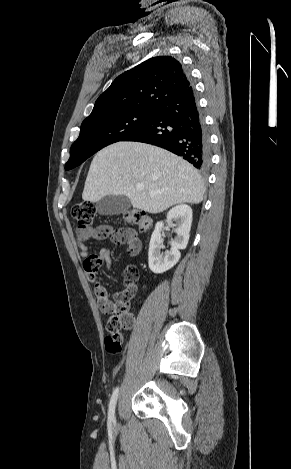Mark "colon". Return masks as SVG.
<instances>
[{
    "label": "colon",
    "instance_id": "colon-1",
    "mask_svg": "<svg viewBox=\"0 0 291 469\" xmlns=\"http://www.w3.org/2000/svg\"><path fill=\"white\" fill-rule=\"evenodd\" d=\"M96 215V208L92 202L82 201L75 204L72 208V216L78 223V231L89 238L106 239L121 237V233L110 231L105 225L92 227ZM126 222L130 225L137 226L140 230L149 229L151 220L149 216L137 209H132L124 214ZM101 265L98 260H88L86 266L88 270L97 272ZM138 269L135 266H128L125 270L124 277L126 281V289L120 292L115 298L114 307L109 311V318L106 323V329L109 335L105 338V348L109 353H119L122 350L123 338L121 329H131L135 322L134 314L131 310L132 299L136 293V283L138 280ZM96 288H100L97 283Z\"/></svg>",
    "mask_w": 291,
    "mask_h": 469
}]
</instances>
